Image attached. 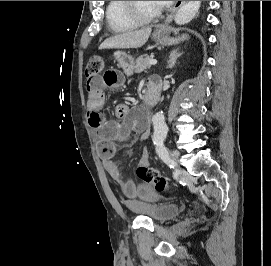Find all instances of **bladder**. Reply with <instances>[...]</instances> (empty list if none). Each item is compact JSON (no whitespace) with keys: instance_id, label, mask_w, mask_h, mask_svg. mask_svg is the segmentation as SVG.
<instances>
[{"instance_id":"bladder-1","label":"bladder","mask_w":271,"mask_h":266,"mask_svg":"<svg viewBox=\"0 0 271 266\" xmlns=\"http://www.w3.org/2000/svg\"><path fill=\"white\" fill-rule=\"evenodd\" d=\"M181 208L177 204H165L153 207H144L138 209V211L143 212V216L147 217L157 223L165 222L180 212Z\"/></svg>"}]
</instances>
